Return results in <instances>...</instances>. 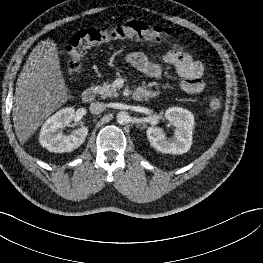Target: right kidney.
Segmentation results:
<instances>
[{
  "instance_id": "obj_1",
  "label": "right kidney",
  "mask_w": 263,
  "mask_h": 263,
  "mask_svg": "<svg viewBox=\"0 0 263 263\" xmlns=\"http://www.w3.org/2000/svg\"><path fill=\"white\" fill-rule=\"evenodd\" d=\"M75 117V110L67 107L59 110L46 120L40 132V144L50 152H71L78 148L88 134V128L83 126L75 129L68 136L60 132Z\"/></svg>"
}]
</instances>
